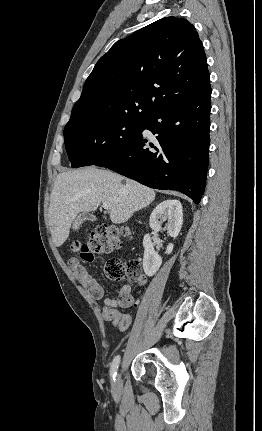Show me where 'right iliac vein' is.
<instances>
[{"label": "right iliac vein", "mask_w": 262, "mask_h": 431, "mask_svg": "<svg viewBox=\"0 0 262 431\" xmlns=\"http://www.w3.org/2000/svg\"><path fill=\"white\" fill-rule=\"evenodd\" d=\"M119 377H120V374L119 373L116 374V380H115V382L113 384V388L114 389H117L119 387Z\"/></svg>", "instance_id": "63e3f726"}]
</instances>
